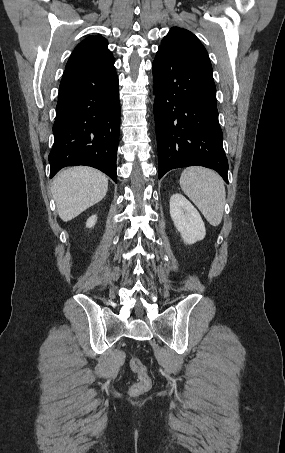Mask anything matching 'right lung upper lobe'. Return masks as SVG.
<instances>
[{
    "instance_id": "right-lung-upper-lobe-1",
    "label": "right lung upper lobe",
    "mask_w": 285,
    "mask_h": 453,
    "mask_svg": "<svg viewBox=\"0 0 285 453\" xmlns=\"http://www.w3.org/2000/svg\"><path fill=\"white\" fill-rule=\"evenodd\" d=\"M114 62V57L108 49L107 39L95 35L87 37L75 47L66 64V69L105 70L114 67Z\"/></svg>"
}]
</instances>
